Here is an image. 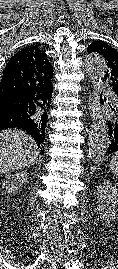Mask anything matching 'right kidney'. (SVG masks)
<instances>
[{
  "label": "right kidney",
  "instance_id": "ca27d5eb",
  "mask_svg": "<svg viewBox=\"0 0 118 269\" xmlns=\"http://www.w3.org/2000/svg\"><path fill=\"white\" fill-rule=\"evenodd\" d=\"M28 178L29 177L26 172L16 173L14 175L7 176L2 185L9 194H15L17 191L21 190Z\"/></svg>",
  "mask_w": 118,
  "mask_h": 269
}]
</instances>
